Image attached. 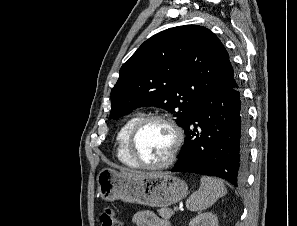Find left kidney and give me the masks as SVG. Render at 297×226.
<instances>
[{"label": "left kidney", "mask_w": 297, "mask_h": 226, "mask_svg": "<svg viewBox=\"0 0 297 226\" xmlns=\"http://www.w3.org/2000/svg\"><path fill=\"white\" fill-rule=\"evenodd\" d=\"M189 226H219L216 215L212 212L201 213L193 218Z\"/></svg>", "instance_id": "obj_1"}]
</instances>
